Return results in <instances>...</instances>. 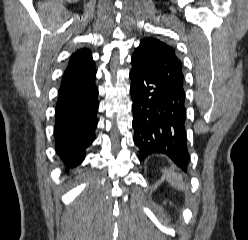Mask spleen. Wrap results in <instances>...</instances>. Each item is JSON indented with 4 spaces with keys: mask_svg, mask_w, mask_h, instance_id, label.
I'll return each mask as SVG.
<instances>
[{
    "mask_svg": "<svg viewBox=\"0 0 248 240\" xmlns=\"http://www.w3.org/2000/svg\"><path fill=\"white\" fill-rule=\"evenodd\" d=\"M163 174L166 177V180L172 187L177 190H184L185 183L183 182V177L181 174L174 172L173 170L164 169Z\"/></svg>",
    "mask_w": 248,
    "mask_h": 240,
    "instance_id": "spleen-1",
    "label": "spleen"
}]
</instances>
